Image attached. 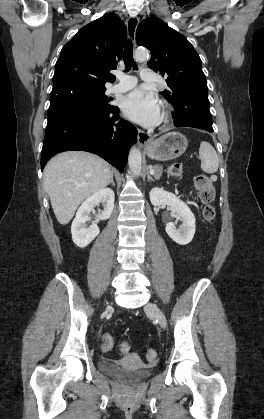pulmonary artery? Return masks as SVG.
<instances>
[{"mask_svg":"<svg viewBox=\"0 0 264 419\" xmlns=\"http://www.w3.org/2000/svg\"><path fill=\"white\" fill-rule=\"evenodd\" d=\"M140 76L144 81H154V73L150 69H143ZM117 78L119 82L112 87V91L115 93L128 91L137 84V78L132 75L119 73Z\"/></svg>","mask_w":264,"mask_h":419,"instance_id":"1","label":"pulmonary artery"}]
</instances>
